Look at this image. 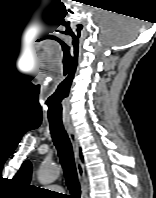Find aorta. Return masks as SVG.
Here are the masks:
<instances>
[{
  "label": "aorta",
  "mask_w": 156,
  "mask_h": 198,
  "mask_svg": "<svg viewBox=\"0 0 156 198\" xmlns=\"http://www.w3.org/2000/svg\"><path fill=\"white\" fill-rule=\"evenodd\" d=\"M60 175V168L53 163L45 162L38 172V180L42 185L53 183Z\"/></svg>",
  "instance_id": "aorta-1"
}]
</instances>
